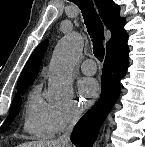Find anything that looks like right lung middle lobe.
Segmentation results:
<instances>
[{
	"label": "right lung middle lobe",
	"mask_w": 145,
	"mask_h": 147,
	"mask_svg": "<svg viewBox=\"0 0 145 147\" xmlns=\"http://www.w3.org/2000/svg\"><path fill=\"white\" fill-rule=\"evenodd\" d=\"M28 89V87H24L21 89H18V94L15 95L14 99H13V103H12V108L10 110L9 116L6 118L3 126H2V131L5 132L9 125L11 124L14 116H16L20 110V106H21V97L20 95H24L26 90Z\"/></svg>",
	"instance_id": "obj_1"
}]
</instances>
